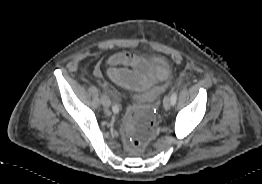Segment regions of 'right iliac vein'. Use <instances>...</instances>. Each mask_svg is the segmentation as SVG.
<instances>
[{
    "label": "right iliac vein",
    "mask_w": 262,
    "mask_h": 184,
    "mask_svg": "<svg viewBox=\"0 0 262 184\" xmlns=\"http://www.w3.org/2000/svg\"><path fill=\"white\" fill-rule=\"evenodd\" d=\"M101 103L105 108H108L111 105V101L109 97H107L106 95H103L101 97Z\"/></svg>",
    "instance_id": "right-iliac-vein-1"
}]
</instances>
